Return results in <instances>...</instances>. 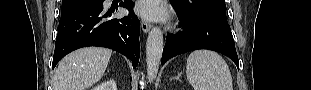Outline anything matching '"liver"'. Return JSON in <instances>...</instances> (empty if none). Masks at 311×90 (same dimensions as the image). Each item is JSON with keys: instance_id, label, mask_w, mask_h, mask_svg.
I'll list each match as a JSON object with an SVG mask.
<instances>
[{"instance_id": "liver-1", "label": "liver", "mask_w": 311, "mask_h": 90, "mask_svg": "<svg viewBox=\"0 0 311 90\" xmlns=\"http://www.w3.org/2000/svg\"><path fill=\"white\" fill-rule=\"evenodd\" d=\"M112 51L88 47L65 56L58 64L53 90H86L97 83L108 66Z\"/></svg>"}]
</instances>
